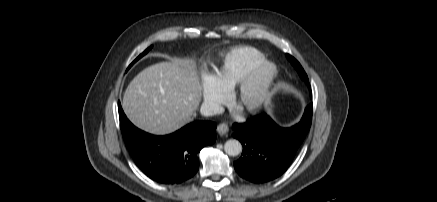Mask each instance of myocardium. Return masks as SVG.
I'll return each mask as SVG.
<instances>
[{"instance_id": "f54148a6", "label": "myocardium", "mask_w": 437, "mask_h": 202, "mask_svg": "<svg viewBox=\"0 0 437 202\" xmlns=\"http://www.w3.org/2000/svg\"><path fill=\"white\" fill-rule=\"evenodd\" d=\"M277 66L263 60L255 65L235 87L232 104L243 114H253L267 102L277 77ZM252 95L251 99L248 96Z\"/></svg>"}]
</instances>
